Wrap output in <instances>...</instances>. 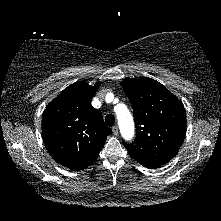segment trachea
Masks as SVG:
<instances>
[{
    "label": "trachea",
    "instance_id": "3493384b",
    "mask_svg": "<svg viewBox=\"0 0 221 221\" xmlns=\"http://www.w3.org/2000/svg\"><path fill=\"white\" fill-rule=\"evenodd\" d=\"M105 122L108 126H113L115 122V117L112 114H107L105 117Z\"/></svg>",
    "mask_w": 221,
    "mask_h": 221
}]
</instances>
